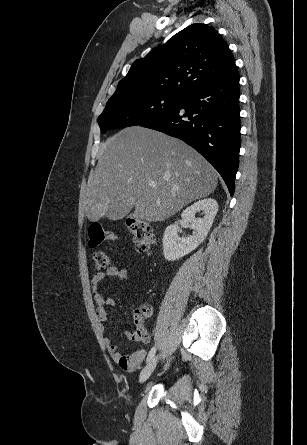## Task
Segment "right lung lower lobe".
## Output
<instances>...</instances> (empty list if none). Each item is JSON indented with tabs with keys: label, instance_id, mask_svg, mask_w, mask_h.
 Segmentation results:
<instances>
[{
	"label": "right lung lower lobe",
	"instance_id": "1",
	"mask_svg": "<svg viewBox=\"0 0 307 445\" xmlns=\"http://www.w3.org/2000/svg\"><path fill=\"white\" fill-rule=\"evenodd\" d=\"M239 74L236 66L188 92L178 106L140 126L179 138L202 154L220 173L230 195L239 164Z\"/></svg>",
	"mask_w": 307,
	"mask_h": 445
}]
</instances>
